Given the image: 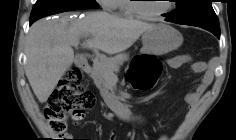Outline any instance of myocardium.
Returning <instances> with one entry per match:
<instances>
[{"label":"myocardium","mask_w":236,"mask_h":140,"mask_svg":"<svg viewBox=\"0 0 236 140\" xmlns=\"http://www.w3.org/2000/svg\"><path fill=\"white\" fill-rule=\"evenodd\" d=\"M136 1L137 0H134V2L129 3L130 10L137 17L142 18V19H148V20L159 18V17L169 13L174 7L173 3H171L172 0H170L168 7L165 10L160 11V12H156V13H149V12H146L145 10H143L141 5Z\"/></svg>","instance_id":"myocardium-1"}]
</instances>
